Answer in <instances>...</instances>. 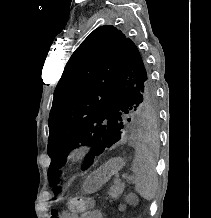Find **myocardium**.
Listing matches in <instances>:
<instances>
[{
	"mask_svg": "<svg viewBox=\"0 0 211 218\" xmlns=\"http://www.w3.org/2000/svg\"><path fill=\"white\" fill-rule=\"evenodd\" d=\"M76 154H77V151H76V150H74V151L71 153L72 156H74V155H76Z\"/></svg>",
	"mask_w": 211,
	"mask_h": 218,
	"instance_id": "myocardium-1",
	"label": "myocardium"
}]
</instances>
